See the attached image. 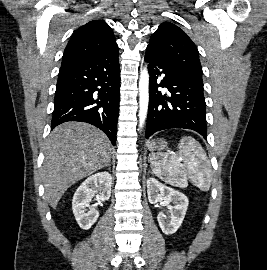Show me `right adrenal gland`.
<instances>
[{
    "mask_svg": "<svg viewBox=\"0 0 267 270\" xmlns=\"http://www.w3.org/2000/svg\"><path fill=\"white\" fill-rule=\"evenodd\" d=\"M105 167H108V168H109V170H110V169H111L110 162H109L107 165H105Z\"/></svg>",
    "mask_w": 267,
    "mask_h": 270,
    "instance_id": "obj_1",
    "label": "right adrenal gland"
}]
</instances>
